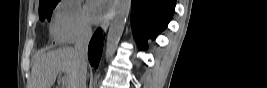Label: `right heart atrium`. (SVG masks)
Listing matches in <instances>:
<instances>
[{
	"instance_id": "1",
	"label": "right heart atrium",
	"mask_w": 267,
	"mask_h": 88,
	"mask_svg": "<svg viewBox=\"0 0 267 88\" xmlns=\"http://www.w3.org/2000/svg\"><path fill=\"white\" fill-rule=\"evenodd\" d=\"M90 32V24L78 2L59 3L51 25V34L57 42L73 43L86 38Z\"/></svg>"
}]
</instances>
